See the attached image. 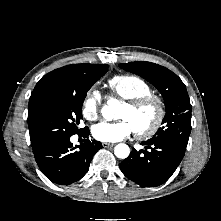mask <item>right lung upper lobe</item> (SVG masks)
<instances>
[{
  "label": "right lung upper lobe",
  "instance_id": "cb5924a9",
  "mask_svg": "<svg viewBox=\"0 0 221 221\" xmlns=\"http://www.w3.org/2000/svg\"><path fill=\"white\" fill-rule=\"evenodd\" d=\"M99 65L72 64L53 70L43 76L29 98L28 116L50 94L79 78L84 71Z\"/></svg>",
  "mask_w": 221,
  "mask_h": 221
}]
</instances>
